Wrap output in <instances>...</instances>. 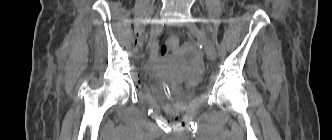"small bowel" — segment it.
I'll use <instances>...</instances> for the list:
<instances>
[{"label":"small bowel","instance_id":"1","mask_svg":"<svg viewBox=\"0 0 332 140\" xmlns=\"http://www.w3.org/2000/svg\"><path fill=\"white\" fill-rule=\"evenodd\" d=\"M156 50H157V44L152 43V45L150 47L151 54L154 55L156 53Z\"/></svg>","mask_w":332,"mask_h":140}]
</instances>
